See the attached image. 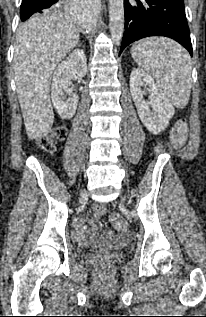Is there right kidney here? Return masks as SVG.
I'll return each mask as SVG.
<instances>
[{
  "label": "right kidney",
  "mask_w": 206,
  "mask_h": 317,
  "mask_svg": "<svg viewBox=\"0 0 206 317\" xmlns=\"http://www.w3.org/2000/svg\"><path fill=\"white\" fill-rule=\"evenodd\" d=\"M86 73L87 59L81 49H75L54 71L51 99L54 108L62 119H71L77 109L79 97L69 88L72 75L84 77Z\"/></svg>",
  "instance_id": "obj_1"
}]
</instances>
